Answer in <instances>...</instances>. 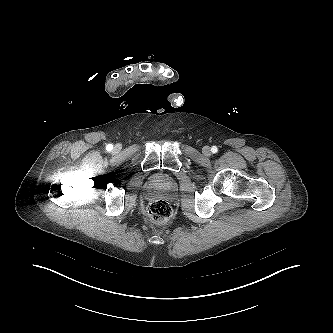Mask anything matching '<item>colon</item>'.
I'll list each match as a JSON object with an SVG mask.
<instances>
[{"mask_svg":"<svg viewBox=\"0 0 333 333\" xmlns=\"http://www.w3.org/2000/svg\"><path fill=\"white\" fill-rule=\"evenodd\" d=\"M147 213L154 223L164 224L170 219L172 208L167 201L158 199L148 205Z\"/></svg>","mask_w":333,"mask_h":333,"instance_id":"colon-1","label":"colon"}]
</instances>
